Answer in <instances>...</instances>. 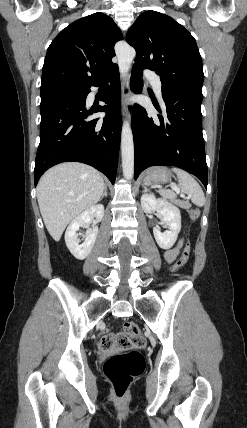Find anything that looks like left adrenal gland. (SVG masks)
<instances>
[{
  "label": "left adrenal gland",
  "mask_w": 247,
  "mask_h": 428,
  "mask_svg": "<svg viewBox=\"0 0 247 428\" xmlns=\"http://www.w3.org/2000/svg\"><path fill=\"white\" fill-rule=\"evenodd\" d=\"M142 187L144 188L143 192L149 191V189L144 184H142Z\"/></svg>",
  "instance_id": "obj_1"
}]
</instances>
